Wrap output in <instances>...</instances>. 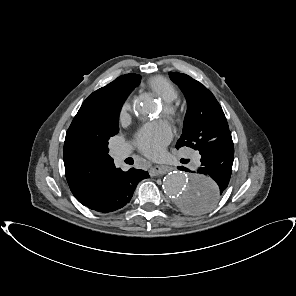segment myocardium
Instances as JSON below:
<instances>
[{
    "mask_svg": "<svg viewBox=\"0 0 296 296\" xmlns=\"http://www.w3.org/2000/svg\"><path fill=\"white\" fill-rule=\"evenodd\" d=\"M163 113L166 118L174 122L179 117V108L175 102H163Z\"/></svg>",
    "mask_w": 296,
    "mask_h": 296,
    "instance_id": "myocardium-1",
    "label": "myocardium"
}]
</instances>
